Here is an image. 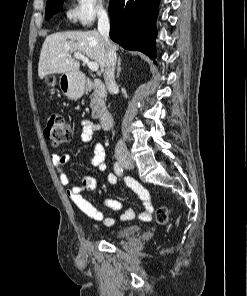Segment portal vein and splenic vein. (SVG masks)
I'll list each match as a JSON object with an SVG mask.
<instances>
[{"label": "portal vein and splenic vein", "mask_w": 247, "mask_h": 296, "mask_svg": "<svg viewBox=\"0 0 247 296\" xmlns=\"http://www.w3.org/2000/svg\"><path fill=\"white\" fill-rule=\"evenodd\" d=\"M76 59H80L81 61H83L85 64L88 65L89 69L93 72L98 71L99 69V65L98 63L94 62V61H90L88 57L84 56L81 53H74L73 55Z\"/></svg>", "instance_id": "portal-vein-and-splenic-vein-1"}]
</instances>
